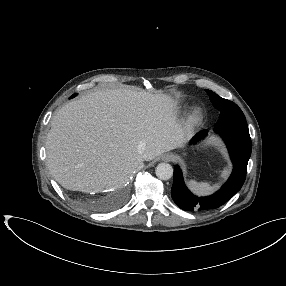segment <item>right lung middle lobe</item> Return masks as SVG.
Here are the masks:
<instances>
[{
	"label": "right lung middle lobe",
	"instance_id": "1",
	"mask_svg": "<svg viewBox=\"0 0 286 286\" xmlns=\"http://www.w3.org/2000/svg\"><path fill=\"white\" fill-rule=\"evenodd\" d=\"M74 96H76V94L72 95L70 98H72V97H74Z\"/></svg>",
	"mask_w": 286,
	"mask_h": 286
}]
</instances>
